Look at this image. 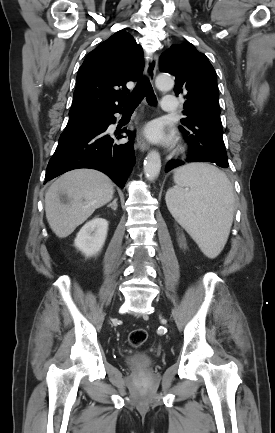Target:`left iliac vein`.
Returning <instances> with one entry per match:
<instances>
[{
    "label": "left iliac vein",
    "mask_w": 275,
    "mask_h": 433,
    "mask_svg": "<svg viewBox=\"0 0 275 433\" xmlns=\"http://www.w3.org/2000/svg\"><path fill=\"white\" fill-rule=\"evenodd\" d=\"M162 323L165 324V321L162 319Z\"/></svg>",
    "instance_id": "1"
}]
</instances>
